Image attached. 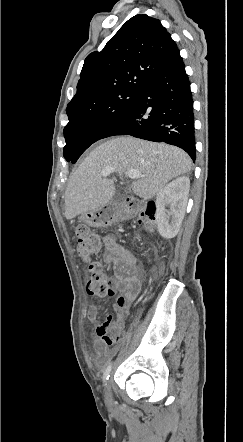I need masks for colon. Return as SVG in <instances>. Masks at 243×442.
Segmentation results:
<instances>
[{"instance_id": "5ec220e1", "label": "colon", "mask_w": 243, "mask_h": 442, "mask_svg": "<svg viewBox=\"0 0 243 442\" xmlns=\"http://www.w3.org/2000/svg\"><path fill=\"white\" fill-rule=\"evenodd\" d=\"M156 205L154 203L137 204L136 213L141 220L149 223L155 222ZM75 236L77 239V252L84 262H89L90 257L96 255L100 250L99 235L93 232L87 224L80 223L75 226ZM86 289L93 296L114 295L108 276L104 267L97 263H89L87 269Z\"/></svg>"}]
</instances>
